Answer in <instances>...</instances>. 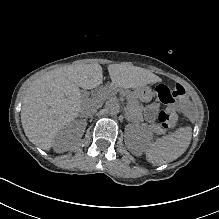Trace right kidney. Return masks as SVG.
<instances>
[{"mask_svg": "<svg viewBox=\"0 0 219 219\" xmlns=\"http://www.w3.org/2000/svg\"><path fill=\"white\" fill-rule=\"evenodd\" d=\"M83 132L84 129L80 131L76 125L68 126L65 130L58 132L56 135L55 142L53 144V150L56 153H63L68 151L69 145L66 143L67 138L69 137L71 140L75 138L78 140L83 135ZM77 133H79L78 136Z\"/></svg>", "mask_w": 219, "mask_h": 219, "instance_id": "1", "label": "right kidney"}]
</instances>
